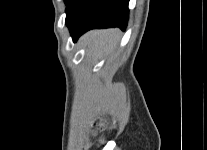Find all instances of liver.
I'll return each mask as SVG.
<instances>
[{
	"label": "liver",
	"mask_w": 207,
	"mask_h": 150,
	"mask_svg": "<svg viewBox=\"0 0 207 150\" xmlns=\"http://www.w3.org/2000/svg\"><path fill=\"white\" fill-rule=\"evenodd\" d=\"M119 35L118 29L93 30L85 34L81 42L87 47L88 55L102 57L113 53ZM76 107L88 119L107 111L101 91L93 86H85L78 91Z\"/></svg>",
	"instance_id": "obj_1"
}]
</instances>
